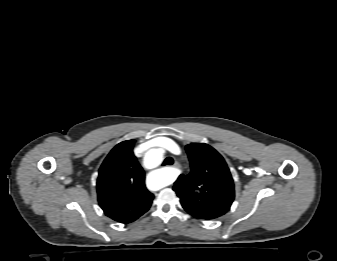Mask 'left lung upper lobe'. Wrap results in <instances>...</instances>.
Here are the masks:
<instances>
[{
	"label": "left lung upper lobe",
	"instance_id": "left-lung-upper-lobe-1",
	"mask_svg": "<svg viewBox=\"0 0 337 261\" xmlns=\"http://www.w3.org/2000/svg\"><path fill=\"white\" fill-rule=\"evenodd\" d=\"M191 172L180 175L173 190L187 213L211 220L224 215L234 200V184L223 157L205 143L186 146Z\"/></svg>",
	"mask_w": 337,
	"mask_h": 261
}]
</instances>
